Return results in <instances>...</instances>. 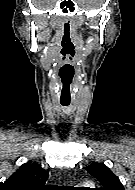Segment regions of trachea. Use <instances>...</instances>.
Listing matches in <instances>:
<instances>
[{
    "instance_id": "obj_1",
    "label": "trachea",
    "mask_w": 135,
    "mask_h": 190,
    "mask_svg": "<svg viewBox=\"0 0 135 190\" xmlns=\"http://www.w3.org/2000/svg\"><path fill=\"white\" fill-rule=\"evenodd\" d=\"M62 105H63V106H68V105H69V103H62Z\"/></svg>"
}]
</instances>
